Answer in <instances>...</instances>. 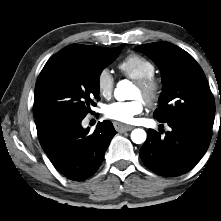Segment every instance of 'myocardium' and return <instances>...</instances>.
<instances>
[{"mask_svg":"<svg viewBox=\"0 0 221 221\" xmlns=\"http://www.w3.org/2000/svg\"><path fill=\"white\" fill-rule=\"evenodd\" d=\"M135 85L140 90L141 98L150 107H155L161 97L162 84L155 76L135 80Z\"/></svg>","mask_w":221,"mask_h":221,"instance_id":"f54148a6","label":"myocardium"}]
</instances>
